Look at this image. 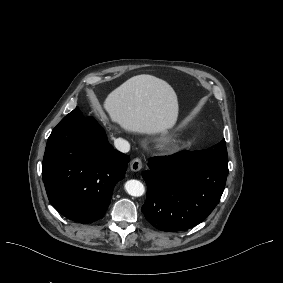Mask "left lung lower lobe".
Masks as SVG:
<instances>
[{"label": "left lung lower lobe", "instance_id": "obj_1", "mask_svg": "<svg viewBox=\"0 0 283 283\" xmlns=\"http://www.w3.org/2000/svg\"><path fill=\"white\" fill-rule=\"evenodd\" d=\"M142 177L147 198L146 220L162 231L187 230L205 220L225 188L228 155L225 140L198 151L152 157Z\"/></svg>", "mask_w": 283, "mask_h": 283}]
</instances>
